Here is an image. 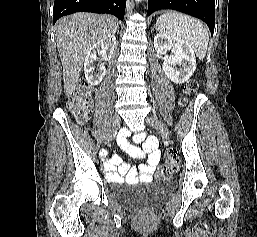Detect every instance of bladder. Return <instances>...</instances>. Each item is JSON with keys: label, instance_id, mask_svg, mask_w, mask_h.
Here are the masks:
<instances>
[{"label": "bladder", "instance_id": "31cf9c89", "mask_svg": "<svg viewBox=\"0 0 257 237\" xmlns=\"http://www.w3.org/2000/svg\"><path fill=\"white\" fill-rule=\"evenodd\" d=\"M168 189L164 183H155L142 190H130L119 198L133 208L154 207L161 202Z\"/></svg>", "mask_w": 257, "mask_h": 237}]
</instances>
